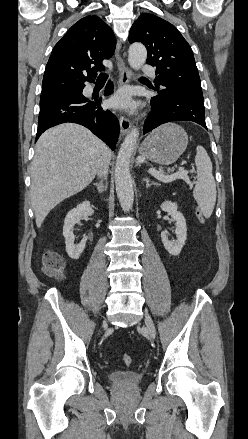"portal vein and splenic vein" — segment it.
I'll return each mask as SVG.
<instances>
[{"label": "portal vein and splenic vein", "mask_w": 248, "mask_h": 439, "mask_svg": "<svg viewBox=\"0 0 248 439\" xmlns=\"http://www.w3.org/2000/svg\"><path fill=\"white\" fill-rule=\"evenodd\" d=\"M149 173L162 182H171V181H174L176 179L188 180L187 171H183L182 168H180L179 172L174 173L170 176H165V175H163V173H161L160 171H157L156 169H153V168L149 169Z\"/></svg>", "instance_id": "portal-vein-and-splenic-vein-1"}]
</instances>
